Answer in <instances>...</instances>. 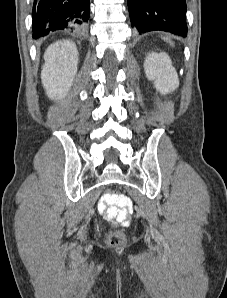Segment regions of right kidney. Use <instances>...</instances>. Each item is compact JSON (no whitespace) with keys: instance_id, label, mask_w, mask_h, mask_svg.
Segmentation results:
<instances>
[{"instance_id":"right-kidney-1","label":"right kidney","mask_w":227,"mask_h":298,"mask_svg":"<svg viewBox=\"0 0 227 298\" xmlns=\"http://www.w3.org/2000/svg\"><path fill=\"white\" fill-rule=\"evenodd\" d=\"M78 57L77 47L70 40L56 41L47 48L41 80L50 99L59 100L68 93L77 73Z\"/></svg>"}]
</instances>
